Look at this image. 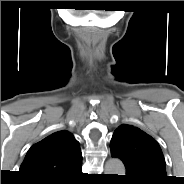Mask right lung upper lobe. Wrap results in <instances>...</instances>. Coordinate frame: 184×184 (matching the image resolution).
Returning a JSON list of instances; mask_svg holds the SVG:
<instances>
[{"mask_svg": "<svg viewBox=\"0 0 184 184\" xmlns=\"http://www.w3.org/2000/svg\"><path fill=\"white\" fill-rule=\"evenodd\" d=\"M82 163L79 142L65 130L34 144L21 164L20 172L29 181H56Z\"/></svg>", "mask_w": 184, "mask_h": 184, "instance_id": "1", "label": "right lung upper lobe"}]
</instances>
